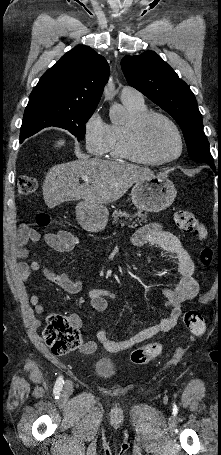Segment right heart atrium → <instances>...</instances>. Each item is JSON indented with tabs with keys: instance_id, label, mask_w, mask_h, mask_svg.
Segmentation results:
<instances>
[{
	"instance_id": "d8ad5b80",
	"label": "right heart atrium",
	"mask_w": 221,
	"mask_h": 455,
	"mask_svg": "<svg viewBox=\"0 0 221 455\" xmlns=\"http://www.w3.org/2000/svg\"><path fill=\"white\" fill-rule=\"evenodd\" d=\"M110 125L99 110L94 111L85 121L83 136L86 150L93 155H104L107 150Z\"/></svg>"
}]
</instances>
